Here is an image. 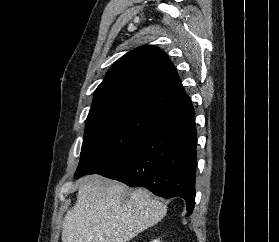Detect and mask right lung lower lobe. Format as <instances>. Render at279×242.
Here are the masks:
<instances>
[{
  "label": "right lung lower lobe",
  "instance_id": "1",
  "mask_svg": "<svg viewBox=\"0 0 279 242\" xmlns=\"http://www.w3.org/2000/svg\"><path fill=\"white\" fill-rule=\"evenodd\" d=\"M196 135L192 103L165 111L144 141L98 174L166 199L181 197L189 216L195 204Z\"/></svg>",
  "mask_w": 279,
  "mask_h": 242
}]
</instances>
